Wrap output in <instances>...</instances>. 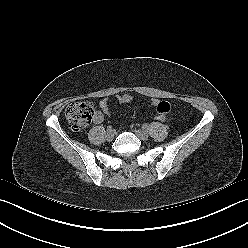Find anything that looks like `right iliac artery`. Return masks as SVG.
Returning a JSON list of instances; mask_svg holds the SVG:
<instances>
[{
  "label": "right iliac artery",
  "instance_id": "1",
  "mask_svg": "<svg viewBox=\"0 0 248 248\" xmlns=\"http://www.w3.org/2000/svg\"><path fill=\"white\" fill-rule=\"evenodd\" d=\"M112 130H113L112 126H107V131H112Z\"/></svg>",
  "mask_w": 248,
  "mask_h": 248
}]
</instances>
